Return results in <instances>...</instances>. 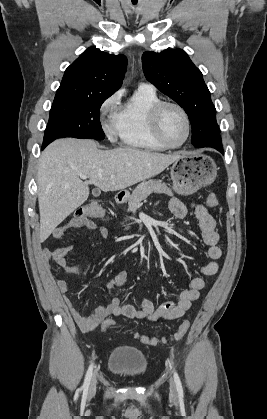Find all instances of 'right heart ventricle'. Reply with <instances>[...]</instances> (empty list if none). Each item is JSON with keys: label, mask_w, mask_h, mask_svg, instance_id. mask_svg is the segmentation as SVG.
<instances>
[{"label": "right heart ventricle", "mask_w": 267, "mask_h": 419, "mask_svg": "<svg viewBox=\"0 0 267 419\" xmlns=\"http://www.w3.org/2000/svg\"><path fill=\"white\" fill-rule=\"evenodd\" d=\"M160 101L153 88L139 87L120 107L114 123L124 145L148 151L166 150L154 137L149 122L151 109Z\"/></svg>", "instance_id": "right-heart-ventricle-1"}]
</instances>
